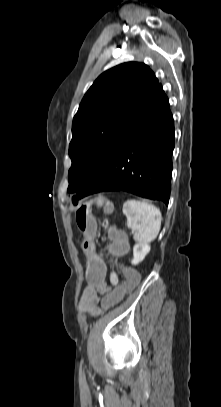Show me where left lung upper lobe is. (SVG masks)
<instances>
[{
	"instance_id": "left-lung-upper-lobe-1",
	"label": "left lung upper lobe",
	"mask_w": 221,
	"mask_h": 407,
	"mask_svg": "<svg viewBox=\"0 0 221 407\" xmlns=\"http://www.w3.org/2000/svg\"><path fill=\"white\" fill-rule=\"evenodd\" d=\"M158 85L147 65L128 62L101 74L86 92L73 119L69 145L68 192L74 194L73 199L104 168L125 129Z\"/></svg>"
}]
</instances>
